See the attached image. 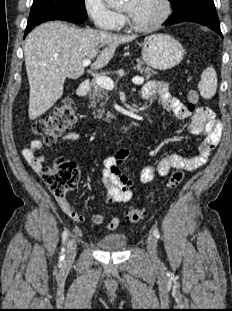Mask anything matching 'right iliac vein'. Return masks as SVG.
Segmentation results:
<instances>
[{"label":"right iliac vein","instance_id":"1","mask_svg":"<svg viewBox=\"0 0 232 311\" xmlns=\"http://www.w3.org/2000/svg\"><path fill=\"white\" fill-rule=\"evenodd\" d=\"M76 248H77L76 241L74 239H69L65 254V261H64L65 266L70 265L74 261L76 255Z\"/></svg>","mask_w":232,"mask_h":311}]
</instances>
